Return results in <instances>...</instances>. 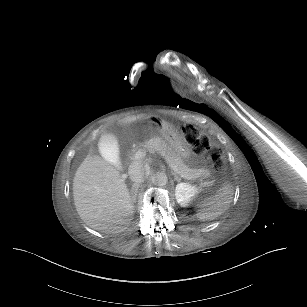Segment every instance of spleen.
Returning a JSON list of instances; mask_svg holds the SVG:
<instances>
[{
  "label": "spleen",
  "instance_id": "obj_1",
  "mask_svg": "<svg viewBox=\"0 0 307 307\" xmlns=\"http://www.w3.org/2000/svg\"><path fill=\"white\" fill-rule=\"evenodd\" d=\"M232 187L229 184H222L216 198L205 202L202 209L197 212V218L201 222L212 221L222 215L229 208L232 196Z\"/></svg>",
  "mask_w": 307,
  "mask_h": 307
}]
</instances>
